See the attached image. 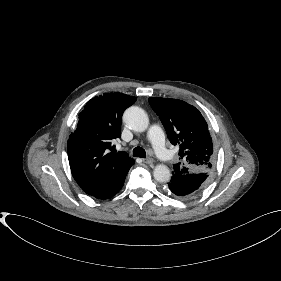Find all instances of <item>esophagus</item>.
Returning <instances> with one entry per match:
<instances>
[{
	"label": "esophagus",
	"mask_w": 281,
	"mask_h": 281,
	"mask_svg": "<svg viewBox=\"0 0 281 281\" xmlns=\"http://www.w3.org/2000/svg\"><path fill=\"white\" fill-rule=\"evenodd\" d=\"M143 162L146 164H152L154 162V160L152 158H144Z\"/></svg>",
	"instance_id": "1"
}]
</instances>
